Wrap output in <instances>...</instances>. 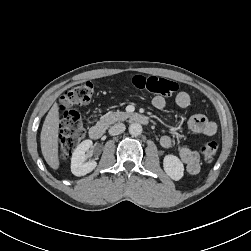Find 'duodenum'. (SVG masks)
<instances>
[{
  "label": "duodenum",
  "instance_id": "duodenum-1",
  "mask_svg": "<svg viewBox=\"0 0 251 251\" xmlns=\"http://www.w3.org/2000/svg\"><path fill=\"white\" fill-rule=\"evenodd\" d=\"M129 120L134 123L147 125L149 120L147 117L141 114H132L129 116ZM104 135V127L102 125H93L89 129V136L93 140H99Z\"/></svg>",
  "mask_w": 251,
  "mask_h": 251
}]
</instances>
